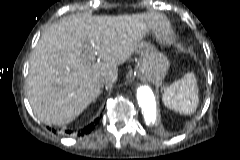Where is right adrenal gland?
Returning <instances> with one entry per match:
<instances>
[{"instance_id":"1","label":"right adrenal gland","mask_w":240,"mask_h":160,"mask_svg":"<svg viewBox=\"0 0 240 160\" xmlns=\"http://www.w3.org/2000/svg\"><path fill=\"white\" fill-rule=\"evenodd\" d=\"M102 93V90L100 91V94ZM96 100H94V102H95Z\"/></svg>"}]
</instances>
